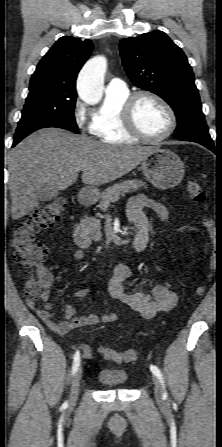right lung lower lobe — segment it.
<instances>
[{
	"label": "right lung lower lobe",
	"instance_id": "1",
	"mask_svg": "<svg viewBox=\"0 0 222 447\" xmlns=\"http://www.w3.org/2000/svg\"><path fill=\"white\" fill-rule=\"evenodd\" d=\"M17 143H18L17 141H14L13 146H15Z\"/></svg>",
	"mask_w": 222,
	"mask_h": 447
}]
</instances>
